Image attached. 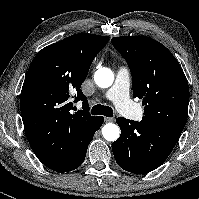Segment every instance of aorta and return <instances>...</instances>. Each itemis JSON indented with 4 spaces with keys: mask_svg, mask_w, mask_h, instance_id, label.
<instances>
[{
    "mask_svg": "<svg viewBox=\"0 0 199 199\" xmlns=\"http://www.w3.org/2000/svg\"><path fill=\"white\" fill-rule=\"evenodd\" d=\"M94 80L99 87L107 88L114 80L113 72L109 68H100L95 72ZM103 137L108 141H116L120 136V129L116 124L108 123L102 128Z\"/></svg>",
    "mask_w": 199,
    "mask_h": 199,
    "instance_id": "aorta-1",
    "label": "aorta"
}]
</instances>
